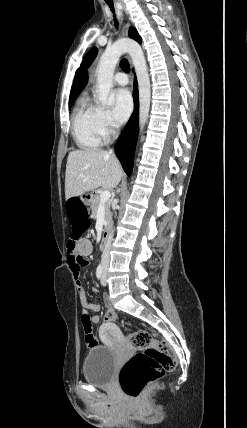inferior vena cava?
<instances>
[{
	"mask_svg": "<svg viewBox=\"0 0 247 428\" xmlns=\"http://www.w3.org/2000/svg\"><path fill=\"white\" fill-rule=\"evenodd\" d=\"M109 153L112 154L113 150H110ZM112 237H113V232L109 235L107 243H106L105 248H104L103 253H102V260L101 261H102V264L104 267H108V265H109V249L111 246Z\"/></svg>",
	"mask_w": 247,
	"mask_h": 428,
	"instance_id": "1",
	"label": "inferior vena cava"
}]
</instances>
